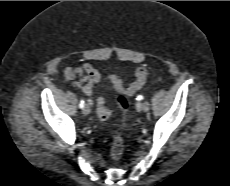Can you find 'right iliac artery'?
Instances as JSON below:
<instances>
[{"label":"right iliac artery","mask_w":230,"mask_h":186,"mask_svg":"<svg viewBox=\"0 0 230 186\" xmlns=\"http://www.w3.org/2000/svg\"><path fill=\"white\" fill-rule=\"evenodd\" d=\"M79 107H80V108H83V107H84V101H81V102H80Z\"/></svg>","instance_id":"obj_1"}]
</instances>
